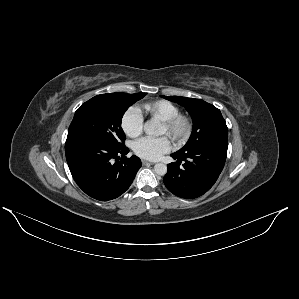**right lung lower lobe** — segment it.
I'll use <instances>...</instances> for the list:
<instances>
[{
  "mask_svg": "<svg viewBox=\"0 0 299 299\" xmlns=\"http://www.w3.org/2000/svg\"><path fill=\"white\" fill-rule=\"evenodd\" d=\"M129 149L108 141L84 137L67 139L66 159L77 185L90 197L108 201L123 194L133 182L141 161L127 158Z\"/></svg>",
  "mask_w": 299,
  "mask_h": 299,
  "instance_id": "obj_1",
  "label": "right lung lower lobe"
}]
</instances>
